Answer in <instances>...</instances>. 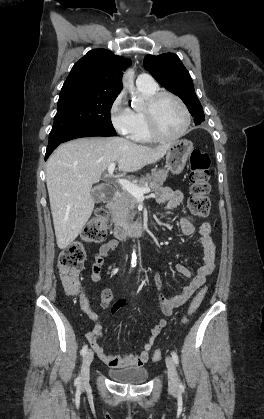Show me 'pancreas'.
Segmentation results:
<instances>
[{"instance_id":"pancreas-1","label":"pancreas","mask_w":264,"mask_h":419,"mask_svg":"<svg viewBox=\"0 0 264 419\" xmlns=\"http://www.w3.org/2000/svg\"><path fill=\"white\" fill-rule=\"evenodd\" d=\"M167 177L168 170L161 168L159 170H152L151 174H146V176H142L140 179L134 180V184L142 188L148 187L150 190L156 191L162 187ZM137 205V198L122 188L120 196L113 206L115 220L118 223L132 222L133 218L137 214Z\"/></svg>"}]
</instances>
